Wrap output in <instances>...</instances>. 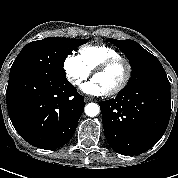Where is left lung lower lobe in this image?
Wrapping results in <instances>:
<instances>
[{"mask_svg":"<svg viewBox=\"0 0 178 178\" xmlns=\"http://www.w3.org/2000/svg\"><path fill=\"white\" fill-rule=\"evenodd\" d=\"M106 139L123 155H138L165 133L171 114L170 84H142L123 89L99 103Z\"/></svg>","mask_w":178,"mask_h":178,"instance_id":"left-lung-lower-lobe-1","label":"left lung lower lobe"}]
</instances>
